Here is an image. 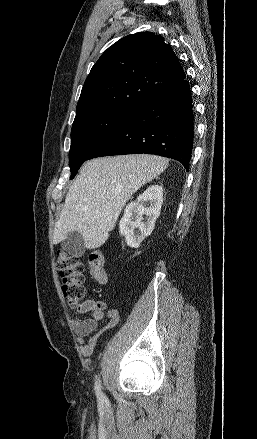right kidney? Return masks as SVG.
<instances>
[{
	"label": "right kidney",
	"mask_w": 257,
	"mask_h": 439,
	"mask_svg": "<svg viewBox=\"0 0 257 439\" xmlns=\"http://www.w3.org/2000/svg\"><path fill=\"white\" fill-rule=\"evenodd\" d=\"M162 203L163 188L159 185H151L136 201L126 206L119 222V232L125 237L128 246L138 248L140 243L152 233ZM143 215H145L144 222Z\"/></svg>",
	"instance_id": "ca27d5eb"
}]
</instances>
